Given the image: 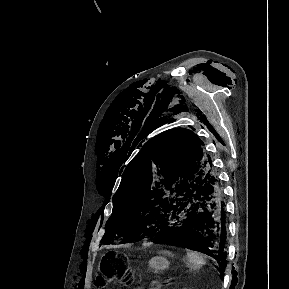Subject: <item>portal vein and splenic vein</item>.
I'll use <instances>...</instances> for the list:
<instances>
[{
	"instance_id": "portal-vein-and-splenic-vein-1",
	"label": "portal vein and splenic vein",
	"mask_w": 289,
	"mask_h": 289,
	"mask_svg": "<svg viewBox=\"0 0 289 289\" xmlns=\"http://www.w3.org/2000/svg\"><path fill=\"white\" fill-rule=\"evenodd\" d=\"M158 287H161V283L160 282L158 283Z\"/></svg>"
}]
</instances>
